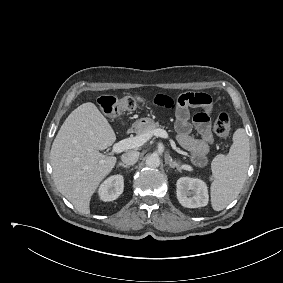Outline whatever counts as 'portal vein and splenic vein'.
<instances>
[{
  "instance_id": "portal-vein-and-splenic-vein-1",
  "label": "portal vein and splenic vein",
  "mask_w": 283,
  "mask_h": 283,
  "mask_svg": "<svg viewBox=\"0 0 283 283\" xmlns=\"http://www.w3.org/2000/svg\"><path fill=\"white\" fill-rule=\"evenodd\" d=\"M152 135H155L157 137L168 139L169 135L168 133L163 129H155L151 133L142 134L133 138H127L119 141L118 143H115L112 147L113 153H121L128 149L138 148L142 146L147 140H149ZM186 169H189V166H185Z\"/></svg>"
}]
</instances>
